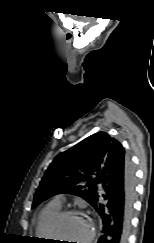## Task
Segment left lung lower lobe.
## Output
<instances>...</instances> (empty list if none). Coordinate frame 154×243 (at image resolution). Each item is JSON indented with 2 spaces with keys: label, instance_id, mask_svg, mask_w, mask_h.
<instances>
[{
  "label": "left lung lower lobe",
  "instance_id": "0a47b994",
  "mask_svg": "<svg viewBox=\"0 0 154 243\" xmlns=\"http://www.w3.org/2000/svg\"><path fill=\"white\" fill-rule=\"evenodd\" d=\"M97 185L100 192L92 206L99 212L103 225L97 243H127L135 197V177L123 147L108 154Z\"/></svg>",
  "mask_w": 154,
  "mask_h": 243
}]
</instances>
